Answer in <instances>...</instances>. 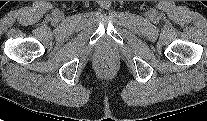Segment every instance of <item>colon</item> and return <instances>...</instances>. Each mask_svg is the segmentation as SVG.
I'll return each mask as SVG.
<instances>
[{
    "label": "colon",
    "instance_id": "colon-1",
    "mask_svg": "<svg viewBox=\"0 0 207 121\" xmlns=\"http://www.w3.org/2000/svg\"><path fill=\"white\" fill-rule=\"evenodd\" d=\"M97 64L101 69H111L114 66V57L110 53L99 56Z\"/></svg>",
    "mask_w": 207,
    "mask_h": 121
}]
</instances>
